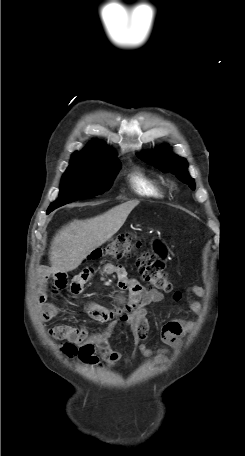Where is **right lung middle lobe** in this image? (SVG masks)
Returning a JSON list of instances; mask_svg holds the SVG:
<instances>
[{
	"label": "right lung middle lobe",
	"instance_id": "right-lung-middle-lobe-1",
	"mask_svg": "<svg viewBox=\"0 0 245 456\" xmlns=\"http://www.w3.org/2000/svg\"><path fill=\"white\" fill-rule=\"evenodd\" d=\"M121 167L118 159L99 164H70L61 181L59 199L48 210L108 191Z\"/></svg>",
	"mask_w": 245,
	"mask_h": 456
}]
</instances>
